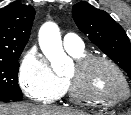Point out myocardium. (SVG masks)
<instances>
[{
	"label": "myocardium",
	"instance_id": "obj_1",
	"mask_svg": "<svg viewBox=\"0 0 131 115\" xmlns=\"http://www.w3.org/2000/svg\"><path fill=\"white\" fill-rule=\"evenodd\" d=\"M95 63H103L111 67L118 74L124 86V93L121 97L113 99L103 98L95 94L86 92L84 90L82 80L83 75L85 71ZM74 68L76 75L74 77L66 78L67 89L69 92V96L72 100L76 102L89 103L94 105L113 106L120 104L128 99L130 95V86L128 80L125 74L123 73L122 69L111 59L99 55H87L78 59L75 62Z\"/></svg>",
	"mask_w": 131,
	"mask_h": 115
}]
</instances>
